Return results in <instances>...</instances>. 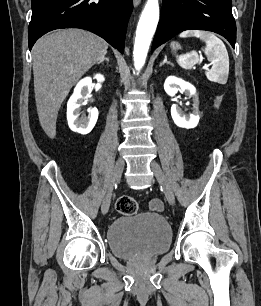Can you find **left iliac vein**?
<instances>
[{"label":"left iliac vein","mask_w":261,"mask_h":306,"mask_svg":"<svg viewBox=\"0 0 261 306\" xmlns=\"http://www.w3.org/2000/svg\"><path fill=\"white\" fill-rule=\"evenodd\" d=\"M150 167H151V170L153 171L157 181L159 182V184L163 188L164 195H165L167 201L169 202V204L173 205L175 203L174 193H173V190H172L164 172L162 171L160 165L157 162L152 161L150 163Z\"/></svg>","instance_id":"1"}]
</instances>
